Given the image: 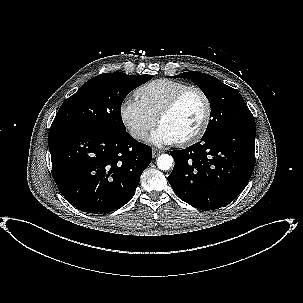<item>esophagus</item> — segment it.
Masks as SVG:
<instances>
[{"instance_id":"esophagus-1","label":"esophagus","mask_w":303,"mask_h":303,"mask_svg":"<svg viewBox=\"0 0 303 303\" xmlns=\"http://www.w3.org/2000/svg\"><path fill=\"white\" fill-rule=\"evenodd\" d=\"M162 151L158 150V149H153L152 150V157L155 158L157 156H159L161 154Z\"/></svg>"}]
</instances>
